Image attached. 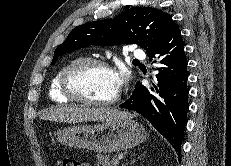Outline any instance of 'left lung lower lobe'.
Here are the masks:
<instances>
[{"label":"left lung lower lobe","mask_w":231,"mask_h":166,"mask_svg":"<svg viewBox=\"0 0 231 166\" xmlns=\"http://www.w3.org/2000/svg\"><path fill=\"white\" fill-rule=\"evenodd\" d=\"M147 55L158 73L145 87L137 82L131 97L119 107L144 116L181 153L187 123L188 93L187 58L181 31L175 26Z\"/></svg>","instance_id":"obj_1"}]
</instances>
